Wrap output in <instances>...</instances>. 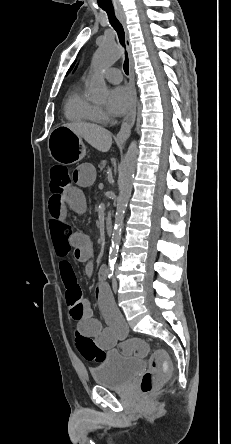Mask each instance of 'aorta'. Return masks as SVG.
<instances>
[{
    "mask_svg": "<svg viewBox=\"0 0 231 444\" xmlns=\"http://www.w3.org/2000/svg\"><path fill=\"white\" fill-rule=\"evenodd\" d=\"M119 57L120 50L112 41L104 42L95 52L92 61L94 73L91 76L88 84V90L93 100L104 101L107 98L108 89L103 77L100 75V72L101 70L113 65ZM136 159L137 146L136 142L132 141L126 153L119 175V195L117 197L115 221L111 238V248L109 254L110 264H114L116 261L117 250L121 241L124 214L133 187Z\"/></svg>",
    "mask_w": 231,
    "mask_h": 444,
    "instance_id": "762f6f07",
    "label": "aorta"
}]
</instances>
